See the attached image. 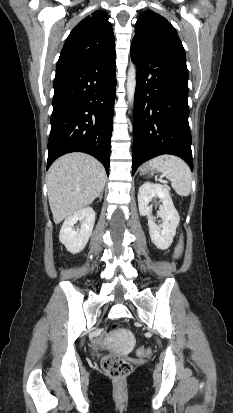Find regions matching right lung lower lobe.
<instances>
[{"mask_svg":"<svg viewBox=\"0 0 233 413\" xmlns=\"http://www.w3.org/2000/svg\"><path fill=\"white\" fill-rule=\"evenodd\" d=\"M115 71V51L56 69L47 169L66 153L85 152L109 174Z\"/></svg>","mask_w":233,"mask_h":413,"instance_id":"98d812e1","label":"right lung lower lobe"}]
</instances>
